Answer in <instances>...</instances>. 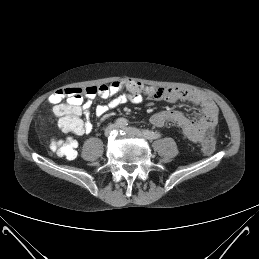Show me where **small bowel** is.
Masks as SVG:
<instances>
[{"label": "small bowel", "instance_id": "c3829d8e", "mask_svg": "<svg viewBox=\"0 0 259 259\" xmlns=\"http://www.w3.org/2000/svg\"><path fill=\"white\" fill-rule=\"evenodd\" d=\"M136 81H115L109 85L89 86L85 88L60 89L49 97V102L54 106V113L60 118L59 126L65 119L74 118L78 124L72 132L76 135L90 133L93 129L89 121L92 102L95 98L109 99L107 104L98 105L95 114L104 117L109 110L130 102L140 104L144 99L151 101H165L175 103L186 101L200 108L197 118H189L178 111L163 110L150 117V123L156 127H163L168 123L178 126L186 138L194 143H199L212 136L218 120V108L215 103L204 94L190 89L177 87L156 88L144 86L139 83L140 90H133L129 84ZM76 90H79L77 92ZM120 93L119 95H117ZM66 103H62L63 98ZM82 115L85 119H82Z\"/></svg>", "mask_w": 259, "mask_h": 259}]
</instances>
